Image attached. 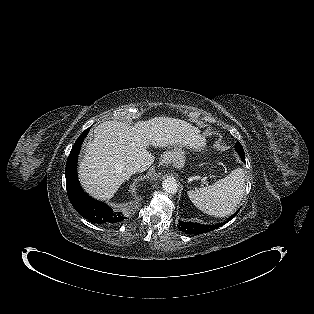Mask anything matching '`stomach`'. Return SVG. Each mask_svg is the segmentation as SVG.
Returning <instances> with one entry per match:
<instances>
[{
  "label": "stomach",
  "mask_w": 314,
  "mask_h": 314,
  "mask_svg": "<svg viewBox=\"0 0 314 314\" xmlns=\"http://www.w3.org/2000/svg\"><path fill=\"white\" fill-rule=\"evenodd\" d=\"M163 158L165 163H170L177 168H181L185 164V151L182 149V146L174 145L165 152Z\"/></svg>",
  "instance_id": "stomach-1"
}]
</instances>
